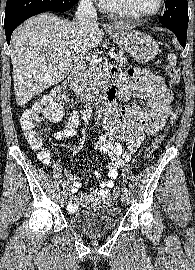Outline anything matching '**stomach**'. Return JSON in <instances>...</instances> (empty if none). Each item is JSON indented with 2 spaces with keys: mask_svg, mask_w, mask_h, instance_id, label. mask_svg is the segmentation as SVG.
<instances>
[{
  "mask_svg": "<svg viewBox=\"0 0 195 270\" xmlns=\"http://www.w3.org/2000/svg\"><path fill=\"white\" fill-rule=\"evenodd\" d=\"M108 32L121 48L137 61L148 62L158 53L157 41L139 30H122L116 27L115 29H108Z\"/></svg>",
  "mask_w": 195,
  "mask_h": 270,
  "instance_id": "0dacf381",
  "label": "stomach"
}]
</instances>
